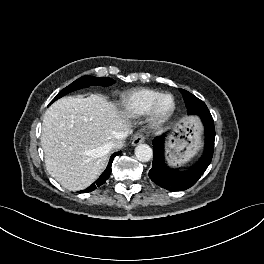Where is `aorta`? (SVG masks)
<instances>
[{
    "label": "aorta",
    "instance_id": "obj_1",
    "mask_svg": "<svg viewBox=\"0 0 264 264\" xmlns=\"http://www.w3.org/2000/svg\"><path fill=\"white\" fill-rule=\"evenodd\" d=\"M135 156L141 162H148L153 156V150L147 144H140L135 148Z\"/></svg>",
    "mask_w": 264,
    "mask_h": 264
}]
</instances>
